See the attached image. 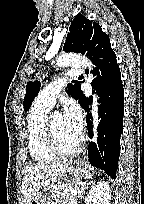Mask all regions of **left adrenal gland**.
Instances as JSON below:
<instances>
[{
  "mask_svg": "<svg viewBox=\"0 0 144 204\" xmlns=\"http://www.w3.org/2000/svg\"><path fill=\"white\" fill-rule=\"evenodd\" d=\"M93 181L88 183L85 187H81V189L79 190V193L76 197V201H75V204H77V200L80 199L81 197H83V194L85 193V190L90 186V185H93Z\"/></svg>",
  "mask_w": 144,
  "mask_h": 204,
  "instance_id": "a2214340",
  "label": "left adrenal gland"
}]
</instances>
